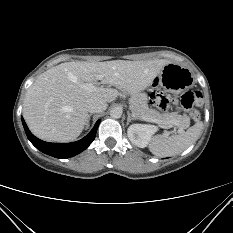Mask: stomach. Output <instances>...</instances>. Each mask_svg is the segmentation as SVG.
Segmentation results:
<instances>
[{"mask_svg":"<svg viewBox=\"0 0 233 233\" xmlns=\"http://www.w3.org/2000/svg\"><path fill=\"white\" fill-rule=\"evenodd\" d=\"M193 83L190 70L176 63H168L158 75L152 77V81L147 83V88H157L161 85L170 92L178 94L190 88Z\"/></svg>","mask_w":233,"mask_h":233,"instance_id":"1","label":"stomach"}]
</instances>
